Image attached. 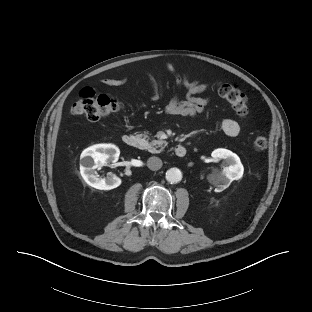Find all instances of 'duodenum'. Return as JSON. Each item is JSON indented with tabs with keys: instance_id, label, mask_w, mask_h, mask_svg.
I'll return each mask as SVG.
<instances>
[{
	"instance_id": "duodenum-1",
	"label": "duodenum",
	"mask_w": 312,
	"mask_h": 312,
	"mask_svg": "<svg viewBox=\"0 0 312 312\" xmlns=\"http://www.w3.org/2000/svg\"><path fill=\"white\" fill-rule=\"evenodd\" d=\"M122 141L128 147H135L138 143L136 136L133 134L124 135ZM174 152L178 157H183L186 154V147L184 145H176Z\"/></svg>"
}]
</instances>
